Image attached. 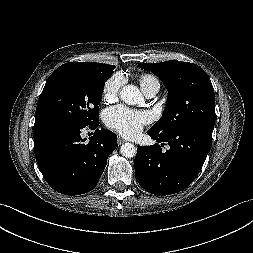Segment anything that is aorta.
<instances>
[{
	"label": "aorta",
	"mask_w": 253,
	"mask_h": 253,
	"mask_svg": "<svg viewBox=\"0 0 253 253\" xmlns=\"http://www.w3.org/2000/svg\"><path fill=\"white\" fill-rule=\"evenodd\" d=\"M120 97L129 105H138L144 101L139 88L134 85L124 86L120 91ZM120 153L126 158H133L137 153V149L132 143H125L121 146Z\"/></svg>",
	"instance_id": "aorta-1"
}]
</instances>
